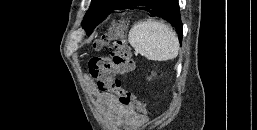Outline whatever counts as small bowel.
Instances as JSON below:
<instances>
[{"mask_svg": "<svg viewBox=\"0 0 257 130\" xmlns=\"http://www.w3.org/2000/svg\"><path fill=\"white\" fill-rule=\"evenodd\" d=\"M89 87L94 91V82L88 79ZM99 104L104 108L110 119L119 126L137 128L144 121V116L135 112L134 109L118 103L115 96L105 93H96Z\"/></svg>", "mask_w": 257, "mask_h": 130, "instance_id": "small-bowel-1", "label": "small bowel"}]
</instances>
